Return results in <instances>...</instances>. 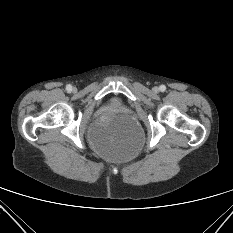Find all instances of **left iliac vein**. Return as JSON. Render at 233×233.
I'll list each match as a JSON object with an SVG mask.
<instances>
[{"label":"left iliac vein","instance_id":"obj_1","mask_svg":"<svg viewBox=\"0 0 233 233\" xmlns=\"http://www.w3.org/2000/svg\"><path fill=\"white\" fill-rule=\"evenodd\" d=\"M153 91H154L155 93H157V92H159V88H158V87H154V88H153Z\"/></svg>","mask_w":233,"mask_h":233}]
</instances>
